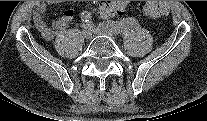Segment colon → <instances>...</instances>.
<instances>
[{
  "label": "colon",
  "instance_id": "1",
  "mask_svg": "<svg viewBox=\"0 0 207 121\" xmlns=\"http://www.w3.org/2000/svg\"><path fill=\"white\" fill-rule=\"evenodd\" d=\"M144 13L146 16L157 19L164 15H167L169 12L168 6L161 1H149L144 5ZM99 14L102 16L104 12L99 8Z\"/></svg>",
  "mask_w": 207,
  "mask_h": 121
}]
</instances>
